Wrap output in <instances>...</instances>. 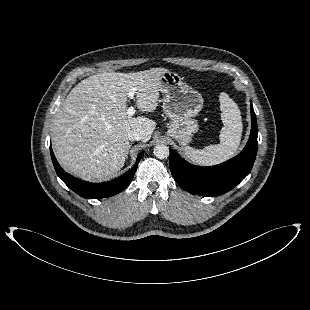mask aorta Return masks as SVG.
Masks as SVG:
<instances>
[{
  "label": "aorta",
  "instance_id": "762f6f07",
  "mask_svg": "<svg viewBox=\"0 0 310 310\" xmlns=\"http://www.w3.org/2000/svg\"><path fill=\"white\" fill-rule=\"evenodd\" d=\"M169 154V147L164 144H158L154 148V155L158 159H166L167 157H169Z\"/></svg>",
  "mask_w": 310,
  "mask_h": 310
}]
</instances>
